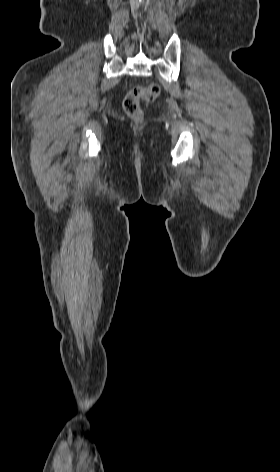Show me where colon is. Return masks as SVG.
<instances>
[{"instance_id": "1", "label": "colon", "mask_w": 280, "mask_h": 472, "mask_svg": "<svg viewBox=\"0 0 280 472\" xmlns=\"http://www.w3.org/2000/svg\"><path fill=\"white\" fill-rule=\"evenodd\" d=\"M160 86L151 83L147 86H136L130 89L124 97L123 108L125 112L134 120H141L143 112L141 101H154L160 94Z\"/></svg>"}]
</instances>
